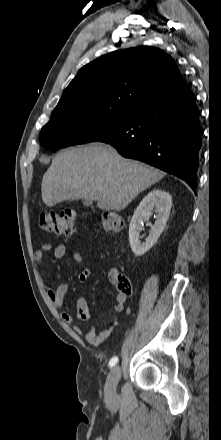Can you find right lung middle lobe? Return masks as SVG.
Instances as JSON below:
<instances>
[{
  "label": "right lung middle lobe",
  "mask_w": 221,
  "mask_h": 440,
  "mask_svg": "<svg viewBox=\"0 0 221 440\" xmlns=\"http://www.w3.org/2000/svg\"><path fill=\"white\" fill-rule=\"evenodd\" d=\"M135 108L114 102L73 103L55 108L39 139L47 150L94 142L118 127Z\"/></svg>",
  "instance_id": "obj_1"
}]
</instances>
